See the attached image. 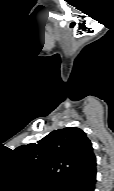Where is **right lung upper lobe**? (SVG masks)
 Wrapping results in <instances>:
<instances>
[{
    "mask_svg": "<svg viewBox=\"0 0 114 191\" xmlns=\"http://www.w3.org/2000/svg\"><path fill=\"white\" fill-rule=\"evenodd\" d=\"M15 151L39 181L54 189L96 169L91 142L76 127L55 130L37 143L20 146Z\"/></svg>",
    "mask_w": 114,
    "mask_h": 191,
    "instance_id": "right-lung-upper-lobe-1",
    "label": "right lung upper lobe"
}]
</instances>
